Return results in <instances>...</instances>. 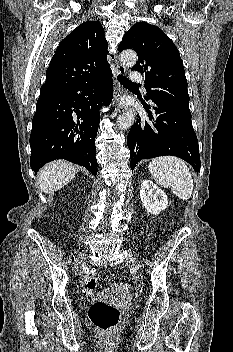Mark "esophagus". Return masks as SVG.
I'll return each instance as SVG.
<instances>
[{
  "label": "esophagus",
  "mask_w": 233,
  "mask_h": 352,
  "mask_svg": "<svg viewBox=\"0 0 233 352\" xmlns=\"http://www.w3.org/2000/svg\"><path fill=\"white\" fill-rule=\"evenodd\" d=\"M117 71L119 74H126V72H127L126 67H124L120 63H117ZM118 110H119V112H125V111L129 110V108L127 106L120 104L118 107Z\"/></svg>",
  "instance_id": "esophagus-1"
}]
</instances>
